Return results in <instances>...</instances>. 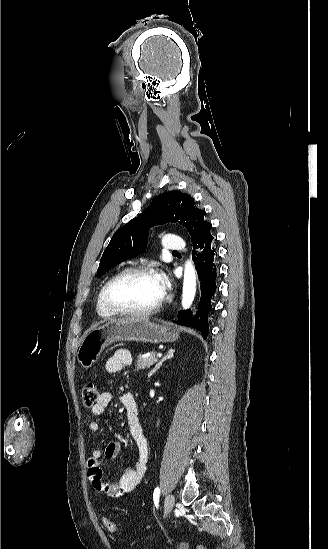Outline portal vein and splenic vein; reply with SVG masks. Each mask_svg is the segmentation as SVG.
I'll use <instances>...</instances> for the list:
<instances>
[{
  "label": "portal vein and splenic vein",
  "mask_w": 328,
  "mask_h": 549,
  "mask_svg": "<svg viewBox=\"0 0 328 549\" xmlns=\"http://www.w3.org/2000/svg\"><path fill=\"white\" fill-rule=\"evenodd\" d=\"M158 359H161V353H157Z\"/></svg>",
  "instance_id": "portal-vein-and-splenic-vein-1"
}]
</instances>
